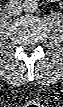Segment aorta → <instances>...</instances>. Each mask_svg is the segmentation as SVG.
<instances>
[{
  "mask_svg": "<svg viewBox=\"0 0 63 107\" xmlns=\"http://www.w3.org/2000/svg\"><path fill=\"white\" fill-rule=\"evenodd\" d=\"M22 8L27 13H33L38 9V3L36 0H25Z\"/></svg>",
  "mask_w": 63,
  "mask_h": 107,
  "instance_id": "762f6f07",
  "label": "aorta"
}]
</instances>
